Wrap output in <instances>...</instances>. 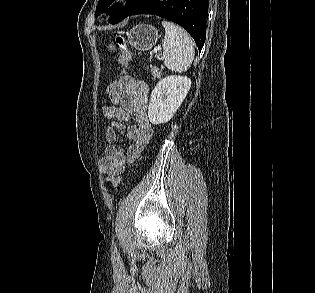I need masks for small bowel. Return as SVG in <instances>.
Returning a JSON list of instances; mask_svg holds the SVG:
<instances>
[{
	"instance_id": "c3829d8e",
	"label": "small bowel",
	"mask_w": 315,
	"mask_h": 293,
	"mask_svg": "<svg viewBox=\"0 0 315 293\" xmlns=\"http://www.w3.org/2000/svg\"><path fill=\"white\" fill-rule=\"evenodd\" d=\"M119 80L118 91L108 94L112 105L105 106L102 110L103 116L111 120L105 131L108 145L101 158V169L108 175L120 174L127 164L134 162L153 133L147 115V83L129 75H124ZM131 116L135 117V125H125ZM118 131L133 142L127 150L116 146Z\"/></svg>"
}]
</instances>
